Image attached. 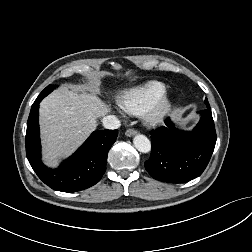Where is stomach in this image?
I'll use <instances>...</instances> for the list:
<instances>
[{"label":"stomach","instance_id":"1","mask_svg":"<svg viewBox=\"0 0 252 252\" xmlns=\"http://www.w3.org/2000/svg\"><path fill=\"white\" fill-rule=\"evenodd\" d=\"M176 119L180 122L182 126L186 124V121L182 119L181 117H177Z\"/></svg>","mask_w":252,"mask_h":252}]
</instances>
